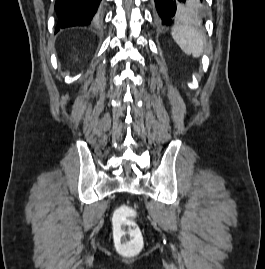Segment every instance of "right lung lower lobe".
I'll return each instance as SVG.
<instances>
[{
	"mask_svg": "<svg viewBox=\"0 0 265 269\" xmlns=\"http://www.w3.org/2000/svg\"><path fill=\"white\" fill-rule=\"evenodd\" d=\"M101 0H56L57 25L55 32L71 26L88 25Z\"/></svg>",
	"mask_w": 265,
	"mask_h": 269,
	"instance_id": "98d812e1",
	"label": "right lung lower lobe"
}]
</instances>
